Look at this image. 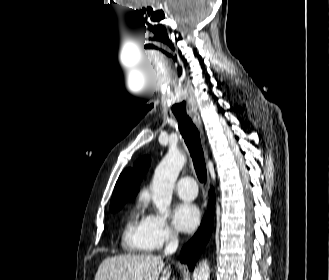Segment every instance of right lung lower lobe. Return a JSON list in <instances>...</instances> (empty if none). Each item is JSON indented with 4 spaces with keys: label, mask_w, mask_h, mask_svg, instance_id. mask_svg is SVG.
Returning a JSON list of instances; mask_svg holds the SVG:
<instances>
[{
    "label": "right lung lower lobe",
    "mask_w": 329,
    "mask_h": 280,
    "mask_svg": "<svg viewBox=\"0 0 329 280\" xmlns=\"http://www.w3.org/2000/svg\"><path fill=\"white\" fill-rule=\"evenodd\" d=\"M215 196L213 190H210L209 209L204 216L198 232L193 238L183 246L180 254L181 262L188 265L189 270H193L196 260L199 258L202 250L206 246L213 229Z\"/></svg>",
    "instance_id": "obj_1"
}]
</instances>
